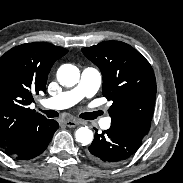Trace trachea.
I'll list each match as a JSON object with an SVG mask.
<instances>
[{"label": "trachea", "mask_w": 183, "mask_h": 183, "mask_svg": "<svg viewBox=\"0 0 183 183\" xmlns=\"http://www.w3.org/2000/svg\"><path fill=\"white\" fill-rule=\"evenodd\" d=\"M40 111L42 113H44L49 118H54V117H58L59 116V113L57 111H54V110L44 111V110L40 109ZM99 115H100L99 112H91V113H82V114H80V117L82 119H85V120H93L96 117H98Z\"/></svg>", "instance_id": "trachea-1"}]
</instances>
